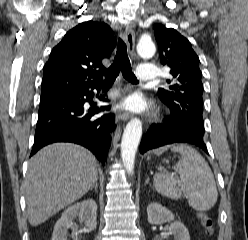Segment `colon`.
Returning a JSON list of instances; mask_svg holds the SVG:
<instances>
[{
	"instance_id": "5ec220e1",
	"label": "colon",
	"mask_w": 248,
	"mask_h": 240,
	"mask_svg": "<svg viewBox=\"0 0 248 240\" xmlns=\"http://www.w3.org/2000/svg\"><path fill=\"white\" fill-rule=\"evenodd\" d=\"M200 218L205 230L210 233L213 227L212 219L206 214H201Z\"/></svg>"
}]
</instances>
